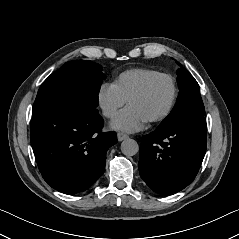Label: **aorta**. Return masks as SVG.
Segmentation results:
<instances>
[{
	"label": "aorta",
	"mask_w": 239,
	"mask_h": 239,
	"mask_svg": "<svg viewBox=\"0 0 239 239\" xmlns=\"http://www.w3.org/2000/svg\"><path fill=\"white\" fill-rule=\"evenodd\" d=\"M138 151L139 145L134 139L128 138L121 143V152L127 157L136 155Z\"/></svg>",
	"instance_id": "762f6f07"
}]
</instances>
